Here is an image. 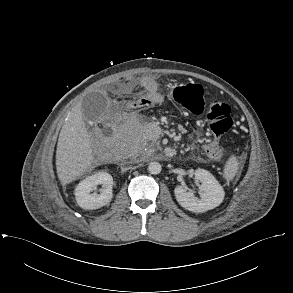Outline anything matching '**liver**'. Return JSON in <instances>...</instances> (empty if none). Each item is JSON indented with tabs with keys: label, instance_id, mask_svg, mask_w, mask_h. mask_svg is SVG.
I'll return each instance as SVG.
<instances>
[{
	"label": "liver",
	"instance_id": "liver-1",
	"mask_svg": "<svg viewBox=\"0 0 293 293\" xmlns=\"http://www.w3.org/2000/svg\"><path fill=\"white\" fill-rule=\"evenodd\" d=\"M93 158L92 141L79 103L72 109L58 138L56 169L60 182L65 185L79 178L92 165Z\"/></svg>",
	"mask_w": 293,
	"mask_h": 293
}]
</instances>
